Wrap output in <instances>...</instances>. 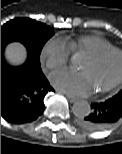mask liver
<instances>
[{
    "label": "liver",
    "instance_id": "obj_1",
    "mask_svg": "<svg viewBox=\"0 0 122 154\" xmlns=\"http://www.w3.org/2000/svg\"><path fill=\"white\" fill-rule=\"evenodd\" d=\"M26 56V49L18 42L11 43L6 47L5 58L12 65H19L23 63Z\"/></svg>",
    "mask_w": 122,
    "mask_h": 154
}]
</instances>
